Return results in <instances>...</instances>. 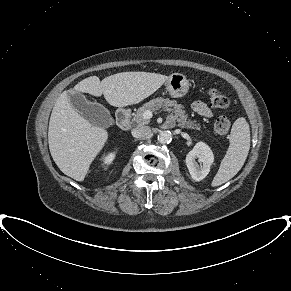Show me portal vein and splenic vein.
Segmentation results:
<instances>
[{"mask_svg": "<svg viewBox=\"0 0 291 291\" xmlns=\"http://www.w3.org/2000/svg\"><path fill=\"white\" fill-rule=\"evenodd\" d=\"M153 116V112L150 111V110H146L144 113H143V119H150L152 118Z\"/></svg>", "mask_w": 291, "mask_h": 291, "instance_id": "obj_1", "label": "portal vein and splenic vein"}]
</instances>
